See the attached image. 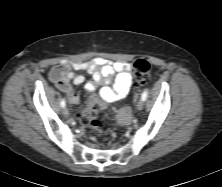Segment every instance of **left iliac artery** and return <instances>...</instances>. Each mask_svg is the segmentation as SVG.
<instances>
[{"instance_id": "1", "label": "left iliac artery", "mask_w": 222, "mask_h": 187, "mask_svg": "<svg viewBox=\"0 0 222 187\" xmlns=\"http://www.w3.org/2000/svg\"><path fill=\"white\" fill-rule=\"evenodd\" d=\"M147 96H148V91L147 90H144V92L142 93V96H141V99L143 101H145L147 99Z\"/></svg>"}]
</instances>
